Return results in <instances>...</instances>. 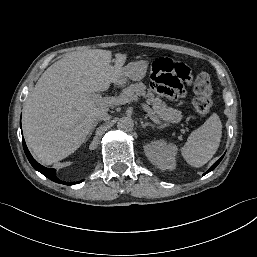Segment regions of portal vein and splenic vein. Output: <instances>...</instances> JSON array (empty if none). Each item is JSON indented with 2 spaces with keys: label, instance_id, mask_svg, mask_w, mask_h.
I'll list each match as a JSON object with an SVG mask.
<instances>
[{
  "label": "portal vein and splenic vein",
  "instance_id": "obj_1",
  "mask_svg": "<svg viewBox=\"0 0 257 257\" xmlns=\"http://www.w3.org/2000/svg\"><path fill=\"white\" fill-rule=\"evenodd\" d=\"M91 97L103 104V105H107V106H112V105H123L126 103H129L133 100H136L137 98L134 97H128L126 95H119L117 97H102L100 94H93L91 95ZM142 108L147 112L148 116H150V118L152 119V121H154L155 123H159V120L157 119V117L154 115V113L152 112L151 108L145 104V103H141ZM166 126H170V124H165Z\"/></svg>",
  "mask_w": 257,
  "mask_h": 257
}]
</instances>
